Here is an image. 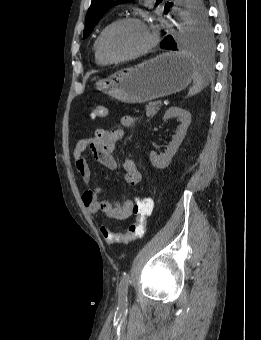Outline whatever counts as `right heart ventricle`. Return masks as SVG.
I'll list each match as a JSON object with an SVG mask.
<instances>
[{
    "mask_svg": "<svg viewBox=\"0 0 261 340\" xmlns=\"http://www.w3.org/2000/svg\"><path fill=\"white\" fill-rule=\"evenodd\" d=\"M110 23L106 24L99 32V34L97 35V37L95 38L94 40V43H93V51H94V56H95V61L97 64L99 65H102V66H105V65H109L111 64L112 62L107 60L100 52L99 50V39H100V36L102 34V32L105 30V28L109 25Z\"/></svg>",
    "mask_w": 261,
    "mask_h": 340,
    "instance_id": "e07e8e85",
    "label": "right heart ventricle"
}]
</instances>
